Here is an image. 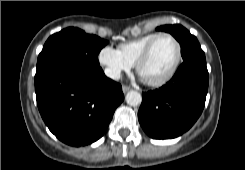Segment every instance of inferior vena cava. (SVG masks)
<instances>
[{
  "mask_svg": "<svg viewBox=\"0 0 245 170\" xmlns=\"http://www.w3.org/2000/svg\"><path fill=\"white\" fill-rule=\"evenodd\" d=\"M105 75L111 79L118 80L120 78V71L116 69L106 68Z\"/></svg>",
  "mask_w": 245,
  "mask_h": 170,
  "instance_id": "obj_1",
  "label": "inferior vena cava"
}]
</instances>
